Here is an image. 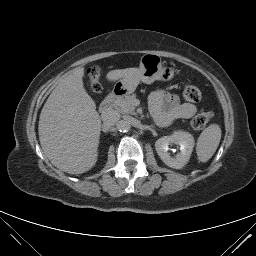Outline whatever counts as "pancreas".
Listing matches in <instances>:
<instances>
[{
    "label": "pancreas",
    "mask_w": 256,
    "mask_h": 256,
    "mask_svg": "<svg viewBox=\"0 0 256 256\" xmlns=\"http://www.w3.org/2000/svg\"><path fill=\"white\" fill-rule=\"evenodd\" d=\"M136 95H129L125 98L119 99L115 102L114 108L122 114H134L135 106L134 100Z\"/></svg>",
    "instance_id": "pancreas-1"
}]
</instances>
